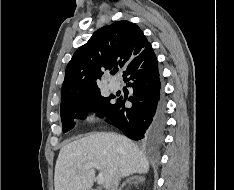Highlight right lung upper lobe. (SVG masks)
I'll return each instance as SVG.
<instances>
[{
  "mask_svg": "<svg viewBox=\"0 0 234 190\" xmlns=\"http://www.w3.org/2000/svg\"><path fill=\"white\" fill-rule=\"evenodd\" d=\"M148 46L150 43L134 23L122 20L102 27L74 53L68 63L61 104L99 90L102 69L127 66Z\"/></svg>",
  "mask_w": 234,
  "mask_h": 190,
  "instance_id": "obj_1",
  "label": "right lung upper lobe"
}]
</instances>
